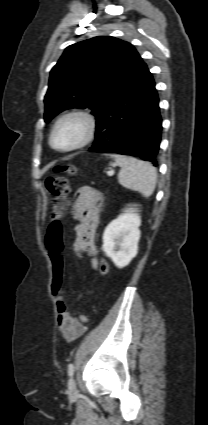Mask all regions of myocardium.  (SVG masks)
<instances>
[{"instance_id":"myocardium-1","label":"myocardium","mask_w":208,"mask_h":425,"mask_svg":"<svg viewBox=\"0 0 208 425\" xmlns=\"http://www.w3.org/2000/svg\"><path fill=\"white\" fill-rule=\"evenodd\" d=\"M72 119L80 120L83 123L84 129H83L82 136L80 137L78 141H76L75 143L69 146H66V147L56 146L54 144V137L58 128L60 127L62 123ZM97 130H98V123L93 114H91L88 111L80 110V109L70 110L62 114L55 121L51 129L49 143L51 147L57 151H61V152L75 151V150L84 148L87 145H89L91 142H93L97 135Z\"/></svg>"}]
</instances>
